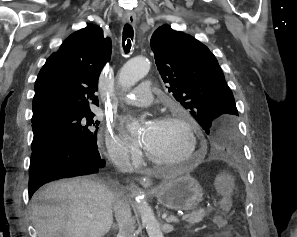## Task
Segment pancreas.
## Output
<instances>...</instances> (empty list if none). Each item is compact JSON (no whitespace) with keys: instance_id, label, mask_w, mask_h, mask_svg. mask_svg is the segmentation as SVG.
I'll list each match as a JSON object with an SVG mask.
<instances>
[{"instance_id":"cf45deb5","label":"pancreas","mask_w":297,"mask_h":237,"mask_svg":"<svg viewBox=\"0 0 297 237\" xmlns=\"http://www.w3.org/2000/svg\"><path fill=\"white\" fill-rule=\"evenodd\" d=\"M208 211L203 208H200L197 211H193L187 214V218L185 219L190 225L199 223L203 220V218L207 215Z\"/></svg>"}]
</instances>
